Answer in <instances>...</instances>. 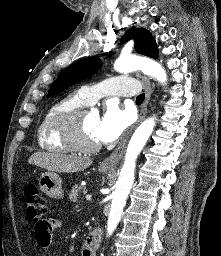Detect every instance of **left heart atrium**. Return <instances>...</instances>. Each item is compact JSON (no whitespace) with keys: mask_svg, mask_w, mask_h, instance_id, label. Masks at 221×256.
Segmentation results:
<instances>
[{"mask_svg":"<svg viewBox=\"0 0 221 256\" xmlns=\"http://www.w3.org/2000/svg\"><path fill=\"white\" fill-rule=\"evenodd\" d=\"M133 122V113L128 109H122L115 102H109L94 134L98 142L110 143L117 140L128 126Z\"/></svg>","mask_w":221,"mask_h":256,"instance_id":"left-heart-atrium-1","label":"left heart atrium"}]
</instances>
